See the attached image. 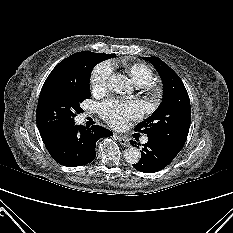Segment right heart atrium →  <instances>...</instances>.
Returning <instances> with one entry per match:
<instances>
[{
    "mask_svg": "<svg viewBox=\"0 0 233 233\" xmlns=\"http://www.w3.org/2000/svg\"><path fill=\"white\" fill-rule=\"evenodd\" d=\"M113 73V65L109 61L99 63L92 71L91 82L95 93L103 92L107 89L108 83Z\"/></svg>",
    "mask_w": 233,
    "mask_h": 233,
    "instance_id": "d8ad5b80",
    "label": "right heart atrium"
}]
</instances>
